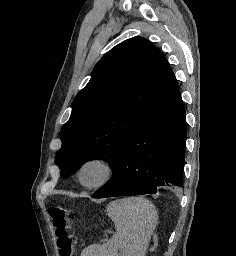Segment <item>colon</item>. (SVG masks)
<instances>
[{
    "mask_svg": "<svg viewBox=\"0 0 236 256\" xmlns=\"http://www.w3.org/2000/svg\"><path fill=\"white\" fill-rule=\"evenodd\" d=\"M48 216L56 239L58 256H72L75 237L68 227V210L61 205H53L48 210Z\"/></svg>",
    "mask_w": 236,
    "mask_h": 256,
    "instance_id": "obj_1",
    "label": "colon"
}]
</instances>
